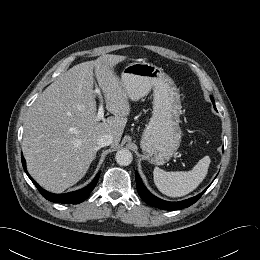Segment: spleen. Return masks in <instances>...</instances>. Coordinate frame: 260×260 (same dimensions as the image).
Here are the masks:
<instances>
[{"label": "spleen", "mask_w": 260, "mask_h": 260, "mask_svg": "<svg viewBox=\"0 0 260 260\" xmlns=\"http://www.w3.org/2000/svg\"><path fill=\"white\" fill-rule=\"evenodd\" d=\"M210 162V157L205 156L190 171L166 172L155 167L153 171L154 183L159 191L167 196H184L195 190L204 180Z\"/></svg>", "instance_id": "obj_1"}]
</instances>
